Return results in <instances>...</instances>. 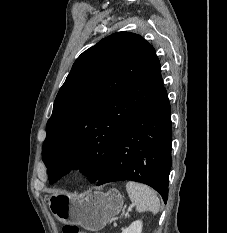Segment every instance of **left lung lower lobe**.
<instances>
[{"label":"left lung lower lobe","instance_id":"1","mask_svg":"<svg viewBox=\"0 0 227 233\" xmlns=\"http://www.w3.org/2000/svg\"><path fill=\"white\" fill-rule=\"evenodd\" d=\"M171 143V108L163 88L123 130L97 185L122 180L141 182L159 192L166 203Z\"/></svg>","mask_w":227,"mask_h":233}]
</instances>
